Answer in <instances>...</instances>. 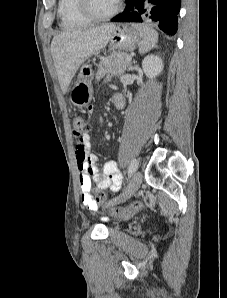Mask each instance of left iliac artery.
Instances as JSON below:
<instances>
[{
	"label": "left iliac artery",
	"instance_id": "44dca946",
	"mask_svg": "<svg viewBox=\"0 0 227 298\" xmlns=\"http://www.w3.org/2000/svg\"><path fill=\"white\" fill-rule=\"evenodd\" d=\"M138 162L136 159H133L128 167V178L137 170Z\"/></svg>",
	"mask_w": 227,
	"mask_h": 298
}]
</instances>
